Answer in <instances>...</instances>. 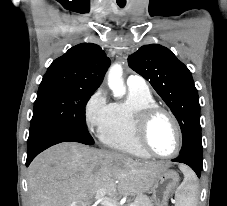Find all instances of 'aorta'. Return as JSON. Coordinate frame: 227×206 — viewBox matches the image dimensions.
<instances>
[{
    "label": "aorta",
    "instance_id": "1",
    "mask_svg": "<svg viewBox=\"0 0 227 206\" xmlns=\"http://www.w3.org/2000/svg\"><path fill=\"white\" fill-rule=\"evenodd\" d=\"M122 74V67L119 64L113 65L108 74V86L112 90L113 95L117 98L123 97L126 93Z\"/></svg>",
    "mask_w": 227,
    "mask_h": 206
}]
</instances>
